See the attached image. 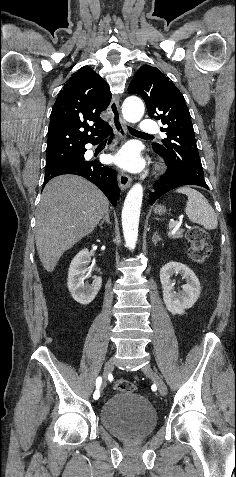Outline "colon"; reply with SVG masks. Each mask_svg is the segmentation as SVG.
<instances>
[{
	"instance_id": "colon-1",
	"label": "colon",
	"mask_w": 236,
	"mask_h": 477,
	"mask_svg": "<svg viewBox=\"0 0 236 477\" xmlns=\"http://www.w3.org/2000/svg\"><path fill=\"white\" fill-rule=\"evenodd\" d=\"M189 242L188 254L198 264L203 263L211 253L209 237L205 230L200 227H192L186 233ZM114 389L124 392H134L135 385L127 380L118 379L113 383Z\"/></svg>"
}]
</instances>
